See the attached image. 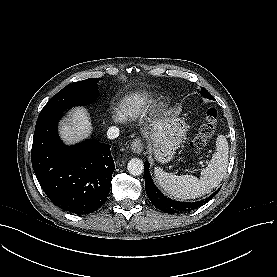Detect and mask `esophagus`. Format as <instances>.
<instances>
[{
	"label": "esophagus",
	"mask_w": 277,
	"mask_h": 277,
	"mask_svg": "<svg viewBox=\"0 0 277 277\" xmlns=\"http://www.w3.org/2000/svg\"><path fill=\"white\" fill-rule=\"evenodd\" d=\"M131 149L136 154H140L143 151V142L141 138L137 137L132 141Z\"/></svg>",
	"instance_id": "1"
}]
</instances>
